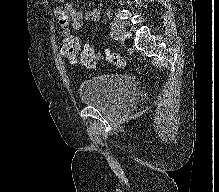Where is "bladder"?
<instances>
[{
    "mask_svg": "<svg viewBox=\"0 0 219 192\" xmlns=\"http://www.w3.org/2000/svg\"><path fill=\"white\" fill-rule=\"evenodd\" d=\"M79 97L84 105L117 118L133 108L138 87L134 80L119 74L91 77L80 84Z\"/></svg>",
    "mask_w": 219,
    "mask_h": 192,
    "instance_id": "obj_1",
    "label": "bladder"
}]
</instances>
